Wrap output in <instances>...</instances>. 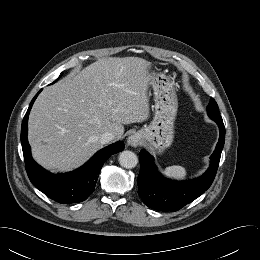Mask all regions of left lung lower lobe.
<instances>
[{
  "label": "left lung lower lobe",
  "mask_w": 260,
  "mask_h": 260,
  "mask_svg": "<svg viewBox=\"0 0 260 260\" xmlns=\"http://www.w3.org/2000/svg\"><path fill=\"white\" fill-rule=\"evenodd\" d=\"M220 130L219 141L211 155L209 169L199 178L186 182L165 179L155 168L153 157L145 150L140 151V173L137 179L138 194L148 207L161 211H176L202 195L212 184L225 141L222 120H214Z\"/></svg>",
  "instance_id": "left-lung-lower-lobe-1"
}]
</instances>
